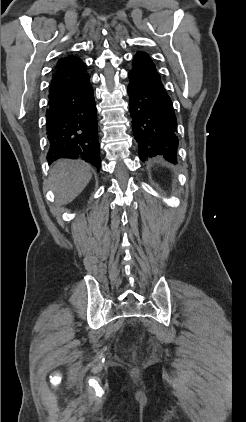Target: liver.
Instances as JSON below:
<instances>
[{"instance_id": "6515ba94", "label": "liver", "mask_w": 246, "mask_h": 422, "mask_svg": "<svg viewBox=\"0 0 246 422\" xmlns=\"http://www.w3.org/2000/svg\"><path fill=\"white\" fill-rule=\"evenodd\" d=\"M91 167L79 160L62 159L54 163L49 174V185L56 194V203L72 202L91 180Z\"/></svg>"}]
</instances>
